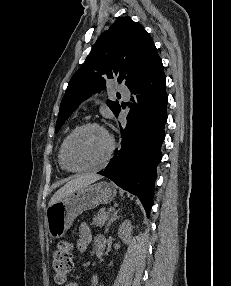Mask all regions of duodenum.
Masks as SVG:
<instances>
[{"label": "duodenum", "mask_w": 231, "mask_h": 286, "mask_svg": "<svg viewBox=\"0 0 231 286\" xmlns=\"http://www.w3.org/2000/svg\"><path fill=\"white\" fill-rule=\"evenodd\" d=\"M104 248H105V241L104 239H100L98 242H97V247H96V253H97V256L98 257H102L103 254H104Z\"/></svg>", "instance_id": "410a0bca"}]
</instances>
